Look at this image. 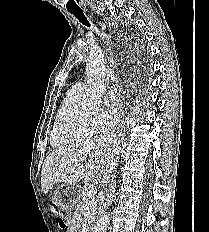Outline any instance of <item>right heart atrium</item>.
Segmentation results:
<instances>
[{"label": "right heart atrium", "mask_w": 209, "mask_h": 232, "mask_svg": "<svg viewBox=\"0 0 209 232\" xmlns=\"http://www.w3.org/2000/svg\"><path fill=\"white\" fill-rule=\"evenodd\" d=\"M118 112L116 110H104L94 118L97 128L105 129L118 120Z\"/></svg>", "instance_id": "1"}]
</instances>
